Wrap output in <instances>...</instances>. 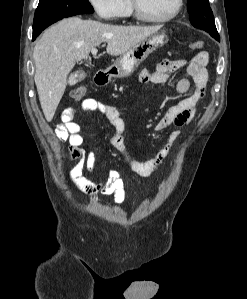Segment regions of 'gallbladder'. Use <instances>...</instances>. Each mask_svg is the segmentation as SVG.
<instances>
[{"mask_svg":"<svg viewBox=\"0 0 247 299\" xmlns=\"http://www.w3.org/2000/svg\"><path fill=\"white\" fill-rule=\"evenodd\" d=\"M81 75H82L81 71H77L76 73L71 74L70 79H69V84L73 85L76 82L80 81L82 78Z\"/></svg>","mask_w":247,"mask_h":299,"instance_id":"obj_1","label":"gallbladder"}]
</instances>
